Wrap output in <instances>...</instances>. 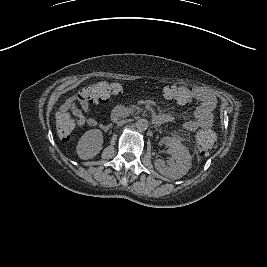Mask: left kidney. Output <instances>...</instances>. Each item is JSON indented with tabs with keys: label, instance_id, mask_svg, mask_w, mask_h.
Returning a JSON list of instances; mask_svg holds the SVG:
<instances>
[{
	"label": "left kidney",
	"instance_id": "left-kidney-1",
	"mask_svg": "<svg viewBox=\"0 0 267 267\" xmlns=\"http://www.w3.org/2000/svg\"><path fill=\"white\" fill-rule=\"evenodd\" d=\"M168 147L171 155L169 166L162 159L154 161L155 169L163 176L170 179H180L187 174L191 168V155L188 149L176 138L164 137L160 141Z\"/></svg>",
	"mask_w": 267,
	"mask_h": 267
}]
</instances>
